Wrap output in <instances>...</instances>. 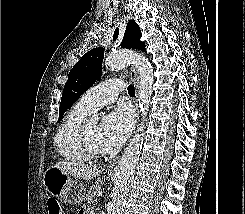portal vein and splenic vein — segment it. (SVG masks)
Instances as JSON below:
<instances>
[{
  "instance_id": "18ae733b",
  "label": "portal vein and splenic vein",
  "mask_w": 245,
  "mask_h": 214,
  "mask_svg": "<svg viewBox=\"0 0 245 214\" xmlns=\"http://www.w3.org/2000/svg\"><path fill=\"white\" fill-rule=\"evenodd\" d=\"M97 195L98 197L102 196V191H98Z\"/></svg>"
}]
</instances>
